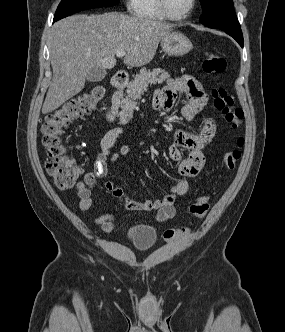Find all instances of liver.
<instances>
[{
    "instance_id": "liver-1",
    "label": "liver",
    "mask_w": 285,
    "mask_h": 332,
    "mask_svg": "<svg viewBox=\"0 0 285 332\" xmlns=\"http://www.w3.org/2000/svg\"><path fill=\"white\" fill-rule=\"evenodd\" d=\"M171 30L172 25L117 12L72 15L58 21L51 30L53 78L42 113L56 110L80 93L92 68L115 67L118 50L126 52L123 61L128 66L148 64Z\"/></svg>"
}]
</instances>
